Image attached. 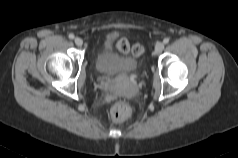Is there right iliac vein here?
<instances>
[{
  "instance_id": "1",
  "label": "right iliac vein",
  "mask_w": 238,
  "mask_h": 158,
  "mask_svg": "<svg viewBox=\"0 0 238 158\" xmlns=\"http://www.w3.org/2000/svg\"><path fill=\"white\" fill-rule=\"evenodd\" d=\"M74 42L77 46H82L83 45V40L80 37H76L74 39Z\"/></svg>"
}]
</instances>
